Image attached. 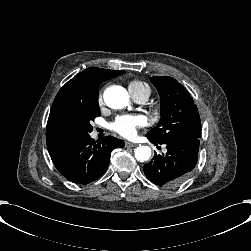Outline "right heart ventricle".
Segmentation results:
<instances>
[{
	"mask_svg": "<svg viewBox=\"0 0 251 251\" xmlns=\"http://www.w3.org/2000/svg\"><path fill=\"white\" fill-rule=\"evenodd\" d=\"M128 86L133 98L139 102H145L152 94L151 86L143 80L132 79Z\"/></svg>",
	"mask_w": 251,
	"mask_h": 251,
	"instance_id": "1",
	"label": "right heart ventricle"
}]
</instances>
